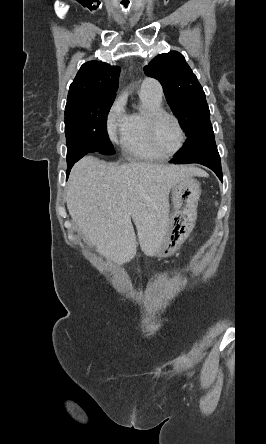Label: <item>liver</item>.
I'll return each mask as SVG.
<instances>
[{
	"mask_svg": "<svg viewBox=\"0 0 266 444\" xmlns=\"http://www.w3.org/2000/svg\"><path fill=\"white\" fill-rule=\"evenodd\" d=\"M193 166L129 163L116 166L85 156L71 170L67 208L85 239L117 265L142 251L156 255L169 220V192L182 180L200 176Z\"/></svg>",
	"mask_w": 266,
	"mask_h": 444,
	"instance_id": "obj_1",
	"label": "liver"
}]
</instances>
